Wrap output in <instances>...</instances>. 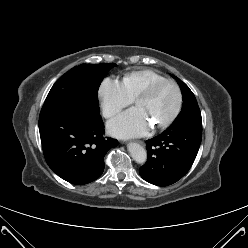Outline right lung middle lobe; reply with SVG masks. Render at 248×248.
<instances>
[{
    "mask_svg": "<svg viewBox=\"0 0 248 248\" xmlns=\"http://www.w3.org/2000/svg\"><path fill=\"white\" fill-rule=\"evenodd\" d=\"M114 63L82 64L61 76L51 88L39 119L53 113L70 110L83 103L99 106L98 89Z\"/></svg>",
    "mask_w": 248,
    "mask_h": 248,
    "instance_id": "dd1d6c3e",
    "label": "right lung middle lobe"
}]
</instances>
